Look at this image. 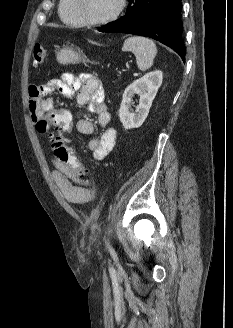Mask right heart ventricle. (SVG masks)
<instances>
[{
	"instance_id": "e07e8e85",
	"label": "right heart ventricle",
	"mask_w": 233,
	"mask_h": 328,
	"mask_svg": "<svg viewBox=\"0 0 233 328\" xmlns=\"http://www.w3.org/2000/svg\"><path fill=\"white\" fill-rule=\"evenodd\" d=\"M59 16L64 24L78 28L83 26L75 11V0H60Z\"/></svg>"
}]
</instances>
